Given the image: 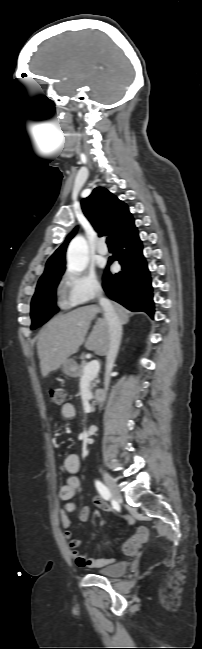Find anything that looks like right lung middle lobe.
Returning a JSON list of instances; mask_svg holds the SVG:
<instances>
[{
	"mask_svg": "<svg viewBox=\"0 0 202 649\" xmlns=\"http://www.w3.org/2000/svg\"><path fill=\"white\" fill-rule=\"evenodd\" d=\"M63 272L40 277L35 294L31 301V329L44 324L58 312L56 306V288Z\"/></svg>",
	"mask_w": 202,
	"mask_h": 649,
	"instance_id": "dd1d6c3e",
	"label": "right lung middle lobe"
}]
</instances>
